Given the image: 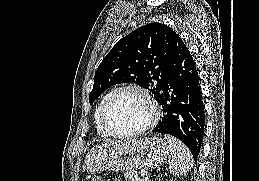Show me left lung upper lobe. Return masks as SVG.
Masks as SVG:
<instances>
[{
  "label": "left lung upper lobe",
  "mask_w": 259,
  "mask_h": 181,
  "mask_svg": "<svg viewBox=\"0 0 259 181\" xmlns=\"http://www.w3.org/2000/svg\"><path fill=\"white\" fill-rule=\"evenodd\" d=\"M178 37L170 27L154 22L119 40L97 68L90 104L106 89L119 83L141 85L157 100L171 71Z\"/></svg>",
  "instance_id": "1"
}]
</instances>
